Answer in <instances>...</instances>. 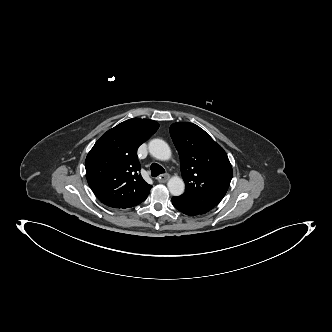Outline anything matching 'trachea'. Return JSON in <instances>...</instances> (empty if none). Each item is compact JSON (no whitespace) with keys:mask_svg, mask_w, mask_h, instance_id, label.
Here are the masks:
<instances>
[{"mask_svg":"<svg viewBox=\"0 0 332 332\" xmlns=\"http://www.w3.org/2000/svg\"><path fill=\"white\" fill-rule=\"evenodd\" d=\"M150 170L153 177H157L158 175L165 173L164 168L157 163H152L150 166Z\"/></svg>","mask_w":332,"mask_h":332,"instance_id":"trachea-1","label":"trachea"}]
</instances>
